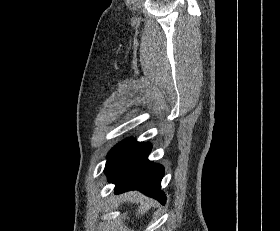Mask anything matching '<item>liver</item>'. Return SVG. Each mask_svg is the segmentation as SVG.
<instances>
[{
	"label": "liver",
	"mask_w": 280,
	"mask_h": 231,
	"mask_svg": "<svg viewBox=\"0 0 280 231\" xmlns=\"http://www.w3.org/2000/svg\"><path fill=\"white\" fill-rule=\"evenodd\" d=\"M130 195H132V197H139V199H143L141 207L137 209L138 213H145V211H148V209H150L153 203V199H149V197H143V195H139V193H136V191H130V193H127L125 197H130Z\"/></svg>",
	"instance_id": "obj_1"
}]
</instances>
